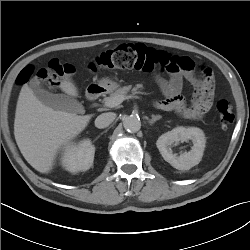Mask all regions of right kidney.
<instances>
[{"instance_id": "right-kidney-1", "label": "right kidney", "mask_w": 250, "mask_h": 250, "mask_svg": "<svg viewBox=\"0 0 250 250\" xmlns=\"http://www.w3.org/2000/svg\"><path fill=\"white\" fill-rule=\"evenodd\" d=\"M95 147L89 139L68 145L61 157L63 168L71 173L87 171L93 165Z\"/></svg>"}]
</instances>
